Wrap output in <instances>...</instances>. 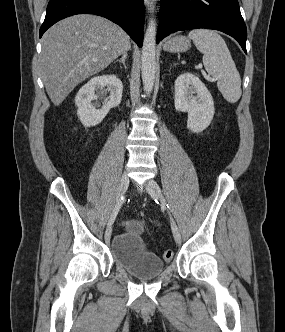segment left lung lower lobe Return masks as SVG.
I'll return each instance as SVG.
<instances>
[{"label":"left lung lower lobe","instance_id":"1","mask_svg":"<svg viewBox=\"0 0 285 332\" xmlns=\"http://www.w3.org/2000/svg\"><path fill=\"white\" fill-rule=\"evenodd\" d=\"M196 28L222 31L247 53V29L238 0H161L157 42L176 31Z\"/></svg>","mask_w":285,"mask_h":332}]
</instances>
